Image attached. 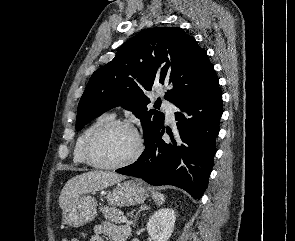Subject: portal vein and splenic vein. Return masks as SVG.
I'll use <instances>...</instances> for the list:
<instances>
[{
  "label": "portal vein and splenic vein",
  "instance_id": "1",
  "mask_svg": "<svg viewBox=\"0 0 295 241\" xmlns=\"http://www.w3.org/2000/svg\"><path fill=\"white\" fill-rule=\"evenodd\" d=\"M120 222L126 223L128 221H127V218L126 217L122 216V217H120Z\"/></svg>",
  "mask_w": 295,
  "mask_h": 241
}]
</instances>
